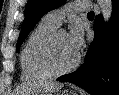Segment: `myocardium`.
<instances>
[{"mask_svg": "<svg viewBox=\"0 0 119 95\" xmlns=\"http://www.w3.org/2000/svg\"><path fill=\"white\" fill-rule=\"evenodd\" d=\"M60 32H65L63 29L54 30L45 40L42 49H41V63L43 67L47 70V72L52 76H59L63 74H67L75 70L80 63V55L78 54L74 62L64 68H59L55 65L53 60V47L55 40Z\"/></svg>", "mask_w": 119, "mask_h": 95, "instance_id": "f54148a6", "label": "myocardium"}]
</instances>
